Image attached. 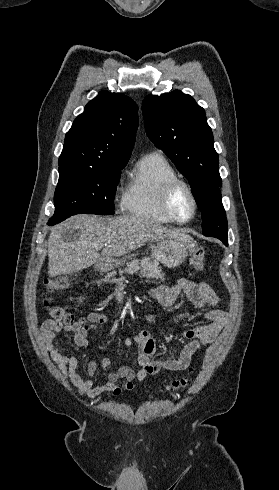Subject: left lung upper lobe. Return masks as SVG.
<instances>
[{
    "label": "left lung upper lobe",
    "mask_w": 279,
    "mask_h": 490,
    "mask_svg": "<svg viewBox=\"0 0 279 490\" xmlns=\"http://www.w3.org/2000/svg\"><path fill=\"white\" fill-rule=\"evenodd\" d=\"M149 139L188 179L201 210L202 233L228 245V225L221 201L218 154L205 111L179 90L148 95L142 105Z\"/></svg>",
    "instance_id": "1"
}]
</instances>
